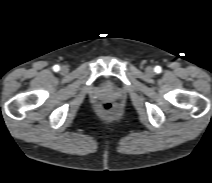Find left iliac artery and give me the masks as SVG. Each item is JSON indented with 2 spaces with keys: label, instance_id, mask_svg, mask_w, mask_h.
<instances>
[{
  "label": "left iliac artery",
  "instance_id": "1",
  "mask_svg": "<svg viewBox=\"0 0 212 183\" xmlns=\"http://www.w3.org/2000/svg\"><path fill=\"white\" fill-rule=\"evenodd\" d=\"M154 70L156 73H160L162 71V68L160 66H156Z\"/></svg>",
  "mask_w": 212,
  "mask_h": 183
}]
</instances>
